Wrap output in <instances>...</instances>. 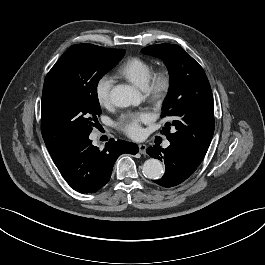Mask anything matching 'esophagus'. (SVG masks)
Returning <instances> with one entry per match:
<instances>
[{"mask_svg":"<svg viewBox=\"0 0 265 265\" xmlns=\"http://www.w3.org/2000/svg\"><path fill=\"white\" fill-rule=\"evenodd\" d=\"M138 149H139V153L145 154L146 153L147 146L145 144H139L138 145Z\"/></svg>","mask_w":265,"mask_h":265,"instance_id":"esophagus-1","label":"esophagus"}]
</instances>
